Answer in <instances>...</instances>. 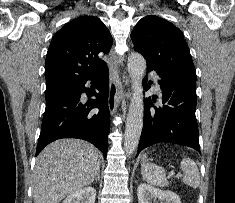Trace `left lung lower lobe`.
I'll return each instance as SVG.
<instances>
[{"label":"left lung lower lobe","instance_id":"1","mask_svg":"<svg viewBox=\"0 0 235 203\" xmlns=\"http://www.w3.org/2000/svg\"><path fill=\"white\" fill-rule=\"evenodd\" d=\"M155 70L162 90L163 106L156 107L151 99L144 104V124L137 155L144 148L158 142L191 147L200 152L196 110V82L178 77L154 66L147 65V72ZM152 82L149 81V84ZM149 89L146 78L143 81ZM155 102L156 99L153 98Z\"/></svg>","mask_w":235,"mask_h":203}]
</instances>
